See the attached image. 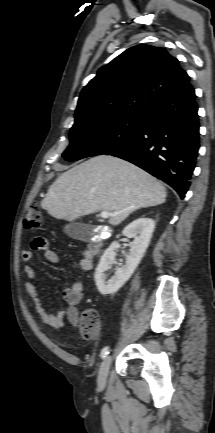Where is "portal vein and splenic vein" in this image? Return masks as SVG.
<instances>
[{"mask_svg": "<svg viewBox=\"0 0 215 433\" xmlns=\"http://www.w3.org/2000/svg\"><path fill=\"white\" fill-rule=\"evenodd\" d=\"M110 216H114V214H112V213H110V212H108V211H101V212H100V217H101V218L107 219V218H109Z\"/></svg>", "mask_w": 215, "mask_h": 433, "instance_id": "obj_1", "label": "portal vein and splenic vein"}]
</instances>
